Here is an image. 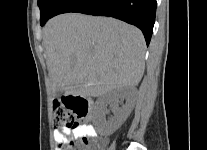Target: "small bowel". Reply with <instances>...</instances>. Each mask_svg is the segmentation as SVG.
<instances>
[{
    "label": "small bowel",
    "instance_id": "1",
    "mask_svg": "<svg viewBox=\"0 0 207 150\" xmlns=\"http://www.w3.org/2000/svg\"><path fill=\"white\" fill-rule=\"evenodd\" d=\"M95 136H96V131L91 125H82L74 129L64 127L61 129H56L53 133V137L57 145L67 140L69 137L79 139V138H92ZM57 150H60L59 147H57Z\"/></svg>",
    "mask_w": 207,
    "mask_h": 150
}]
</instances>
